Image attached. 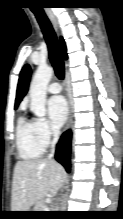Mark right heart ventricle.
<instances>
[{"mask_svg":"<svg viewBox=\"0 0 123 219\" xmlns=\"http://www.w3.org/2000/svg\"><path fill=\"white\" fill-rule=\"evenodd\" d=\"M16 142L19 155L24 160L41 157L45 149L37 135L34 121L24 117H20L17 122Z\"/></svg>","mask_w":123,"mask_h":219,"instance_id":"obj_1","label":"right heart ventricle"}]
</instances>
